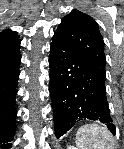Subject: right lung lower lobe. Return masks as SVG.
Masks as SVG:
<instances>
[{
    "mask_svg": "<svg viewBox=\"0 0 124 149\" xmlns=\"http://www.w3.org/2000/svg\"><path fill=\"white\" fill-rule=\"evenodd\" d=\"M20 41L18 38L0 40V147H11L15 129V96L19 78Z\"/></svg>",
    "mask_w": 124,
    "mask_h": 149,
    "instance_id": "obj_1",
    "label": "right lung lower lobe"
}]
</instances>
